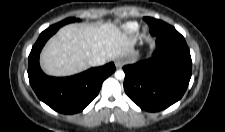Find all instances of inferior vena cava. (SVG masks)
<instances>
[{"label": "inferior vena cava", "instance_id": "inferior-vena-cava-1", "mask_svg": "<svg viewBox=\"0 0 225 132\" xmlns=\"http://www.w3.org/2000/svg\"><path fill=\"white\" fill-rule=\"evenodd\" d=\"M106 63V59L103 57H96L90 61L91 66H101Z\"/></svg>", "mask_w": 225, "mask_h": 132}]
</instances>
